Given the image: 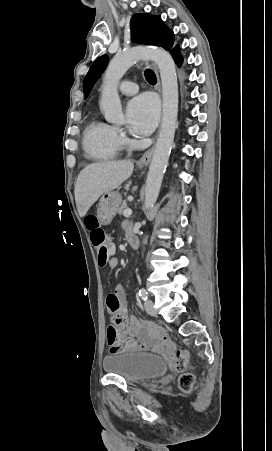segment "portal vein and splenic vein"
Wrapping results in <instances>:
<instances>
[{
	"mask_svg": "<svg viewBox=\"0 0 272 451\" xmlns=\"http://www.w3.org/2000/svg\"><path fill=\"white\" fill-rule=\"evenodd\" d=\"M131 214H132V210H124V212H123L124 218H129V216H131Z\"/></svg>",
	"mask_w": 272,
	"mask_h": 451,
	"instance_id": "1",
	"label": "portal vein and splenic vein"
}]
</instances>
